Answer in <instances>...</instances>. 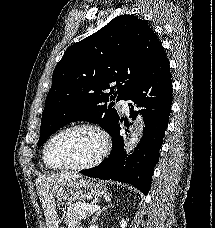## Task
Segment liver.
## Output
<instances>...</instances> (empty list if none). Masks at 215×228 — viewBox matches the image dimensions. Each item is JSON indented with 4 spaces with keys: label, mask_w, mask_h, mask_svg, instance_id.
Segmentation results:
<instances>
[{
    "label": "liver",
    "mask_w": 215,
    "mask_h": 228,
    "mask_svg": "<svg viewBox=\"0 0 215 228\" xmlns=\"http://www.w3.org/2000/svg\"><path fill=\"white\" fill-rule=\"evenodd\" d=\"M82 178L76 172H65V174H47V176H38L35 184L39 200L44 210V216L47 228H55L57 222L56 204L53 200V192L60 182L66 180H77Z\"/></svg>",
    "instance_id": "6515ba94"
}]
</instances>
